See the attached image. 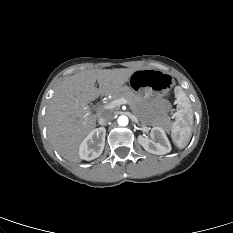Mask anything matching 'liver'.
<instances>
[{
	"label": "liver",
	"instance_id": "obj_1",
	"mask_svg": "<svg viewBox=\"0 0 233 233\" xmlns=\"http://www.w3.org/2000/svg\"><path fill=\"white\" fill-rule=\"evenodd\" d=\"M135 71L131 68L85 70L59 83L47 108L46 120L50 142L63 158L73 163L81 161L80 143L102 114L92 115L89 102L100 95L119 93Z\"/></svg>",
	"mask_w": 233,
	"mask_h": 233
}]
</instances>
